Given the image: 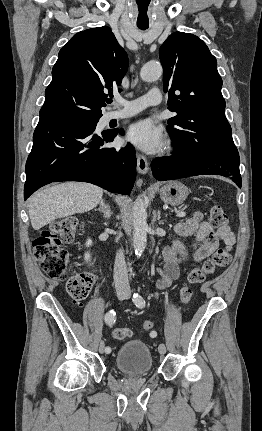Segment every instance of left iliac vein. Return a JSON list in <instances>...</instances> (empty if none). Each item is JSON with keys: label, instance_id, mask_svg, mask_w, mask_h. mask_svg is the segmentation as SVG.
<instances>
[{"label": "left iliac vein", "instance_id": "left-iliac-vein-1", "mask_svg": "<svg viewBox=\"0 0 262 431\" xmlns=\"http://www.w3.org/2000/svg\"><path fill=\"white\" fill-rule=\"evenodd\" d=\"M125 298H128V295H126V297H125ZM158 350H159V353H160L161 355H164V354L166 353V346H165V344L161 343V344L159 345V347H158Z\"/></svg>", "mask_w": 262, "mask_h": 431}]
</instances>
